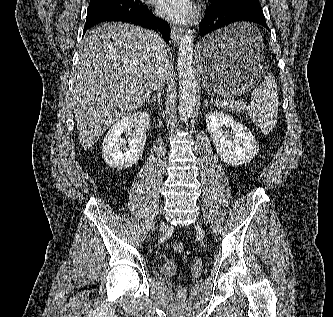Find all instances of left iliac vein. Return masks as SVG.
<instances>
[{"label":"left iliac vein","mask_w":333,"mask_h":317,"mask_svg":"<svg viewBox=\"0 0 333 317\" xmlns=\"http://www.w3.org/2000/svg\"><path fill=\"white\" fill-rule=\"evenodd\" d=\"M197 229H198L199 233H203V229L201 226L197 225Z\"/></svg>","instance_id":"obj_1"}]
</instances>
